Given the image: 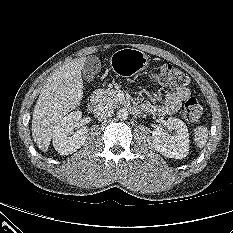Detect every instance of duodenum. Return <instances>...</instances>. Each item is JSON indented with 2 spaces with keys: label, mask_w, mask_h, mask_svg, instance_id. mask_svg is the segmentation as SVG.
<instances>
[{
  "label": "duodenum",
  "mask_w": 233,
  "mask_h": 233,
  "mask_svg": "<svg viewBox=\"0 0 233 233\" xmlns=\"http://www.w3.org/2000/svg\"><path fill=\"white\" fill-rule=\"evenodd\" d=\"M98 97L96 95H92L88 98V101H87V108L88 110L92 111L94 110L97 105H98Z\"/></svg>",
  "instance_id": "410a0bca"
}]
</instances>
